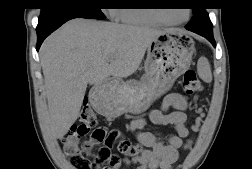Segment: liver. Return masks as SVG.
<instances>
[{
	"label": "liver",
	"mask_w": 252,
	"mask_h": 169,
	"mask_svg": "<svg viewBox=\"0 0 252 169\" xmlns=\"http://www.w3.org/2000/svg\"><path fill=\"white\" fill-rule=\"evenodd\" d=\"M164 31L179 30L76 18L52 33L39 51L50 136L62 138L77 120L88 84L135 73L150 43Z\"/></svg>",
	"instance_id": "1"
}]
</instances>
